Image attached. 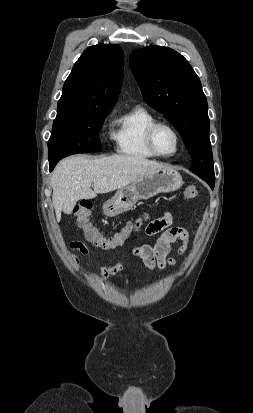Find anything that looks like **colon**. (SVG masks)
Listing matches in <instances>:
<instances>
[{
  "label": "colon",
  "mask_w": 253,
  "mask_h": 413,
  "mask_svg": "<svg viewBox=\"0 0 253 413\" xmlns=\"http://www.w3.org/2000/svg\"><path fill=\"white\" fill-rule=\"evenodd\" d=\"M200 195L198 185H189L186 188L185 196L188 199H196ZM77 224L84 230L86 239L102 250H113L122 246L135 231L134 225H126L112 236H104L91 222L92 205L88 202L80 203L73 210Z\"/></svg>",
  "instance_id": "obj_1"
}]
</instances>
